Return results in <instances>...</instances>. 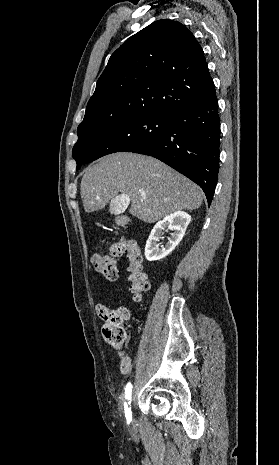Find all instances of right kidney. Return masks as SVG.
I'll use <instances>...</instances> for the list:
<instances>
[{
	"label": "right kidney",
	"instance_id": "ca27d5eb",
	"mask_svg": "<svg viewBox=\"0 0 279 465\" xmlns=\"http://www.w3.org/2000/svg\"><path fill=\"white\" fill-rule=\"evenodd\" d=\"M191 222V216L183 211H176L163 220L157 222L153 227L145 246V257L148 261H157L170 254L180 243L185 231ZM172 230L171 238L167 244L159 249L157 241L164 234V231Z\"/></svg>",
	"mask_w": 279,
	"mask_h": 465
}]
</instances>
